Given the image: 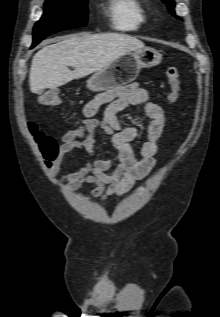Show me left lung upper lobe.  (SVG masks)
<instances>
[{
  "instance_id": "left-lung-upper-lobe-1",
  "label": "left lung upper lobe",
  "mask_w": 220,
  "mask_h": 317,
  "mask_svg": "<svg viewBox=\"0 0 220 317\" xmlns=\"http://www.w3.org/2000/svg\"><path fill=\"white\" fill-rule=\"evenodd\" d=\"M162 1L168 6V9L171 12V14L175 15V12H174V6H175L174 0H162ZM176 18L181 19L178 16H176Z\"/></svg>"
}]
</instances>
